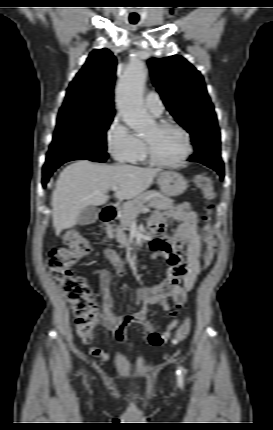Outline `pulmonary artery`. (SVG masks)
<instances>
[{
  "instance_id": "obj_1",
  "label": "pulmonary artery",
  "mask_w": 273,
  "mask_h": 430,
  "mask_svg": "<svg viewBox=\"0 0 273 430\" xmlns=\"http://www.w3.org/2000/svg\"><path fill=\"white\" fill-rule=\"evenodd\" d=\"M145 104L147 109L155 116L161 115L164 110V105L161 98L154 91H151L147 94Z\"/></svg>"
}]
</instances>
